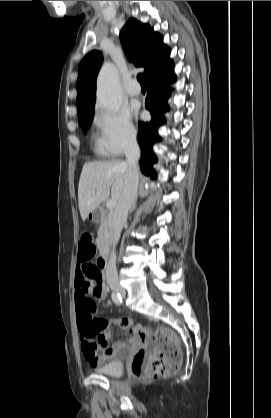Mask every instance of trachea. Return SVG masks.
Listing matches in <instances>:
<instances>
[{
	"label": "trachea",
	"mask_w": 271,
	"mask_h": 418,
	"mask_svg": "<svg viewBox=\"0 0 271 418\" xmlns=\"http://www.w3.org/2000/svg\"><path fill=\"white\" fill-rule=\"evenodd\" d=\"M137 80L139 81V83H140V85L141 86H144L145 84H144V77H143V74H138L137 75Z\"/></svg>",
	"instance_id": "3493384b"
}]
</instances>
